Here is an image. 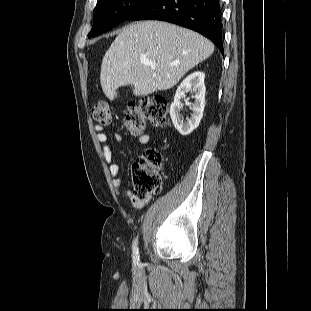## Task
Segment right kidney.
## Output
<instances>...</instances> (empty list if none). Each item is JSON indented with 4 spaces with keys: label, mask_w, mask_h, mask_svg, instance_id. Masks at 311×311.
Listing matches in <instances>:
<instances>
[{
    "label": "right kidney",
    "mask_w": 311,
    "mask_h": 311,
    "mask_svg": "<svg viewBox=\"0 0 311 311\" xmlns=\"http://www.w3.org/2000/svg\"><path fill=\"white\" fill-rule=\"evenodd\" d=\"M205 74L201 71H195L188 75L177 88L174 101L170 107V116L173 125L178 132L183 135H189L195 130L203 117V111L205 107V92L206 88L204 85ZM189 90L194 92L193 98L195 99L192 104V114L190 118L183 121L180 110L182 107L181 98L185 97V93Z\"/></svg>",
    "instance_id": "1"
}]
</instances>
